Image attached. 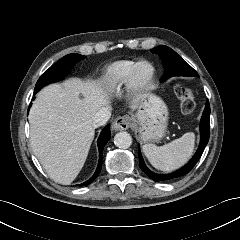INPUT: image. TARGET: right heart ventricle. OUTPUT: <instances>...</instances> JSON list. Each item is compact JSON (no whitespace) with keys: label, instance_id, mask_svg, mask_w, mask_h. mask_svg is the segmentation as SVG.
<instances>
[{"label":"right heart ventricle","instance_id":"obj_1","mask_svg":"<svg viewBox=\"0 0 240 240\" xmlns=\"http://www.w3.org/2000/svg\"><path fill=\"white\" fill-rule=\"evenodd\" d=\"M134 60H119L110 64L103 75V85L110 92L119 91L127 86V77L135 65Z\"/></svg>","mask_w":240,"mask_h":240}]
</instances>
